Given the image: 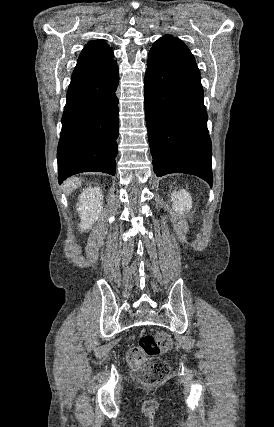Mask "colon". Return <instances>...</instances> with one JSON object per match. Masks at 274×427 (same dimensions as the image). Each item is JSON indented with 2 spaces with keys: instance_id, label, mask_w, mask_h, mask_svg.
<instances>
[{
  "instance_id": "5ec220e1",
  "label": "colon",
  "mask_w": 274,
  "mask_h": 427,
  "mask_svg": "<svg viewBox=\"0 0 274 427\" xmlns=\"http://www.w3.org/2000/svg\"><path fill=\"white\" fill-rule=\"evenodd\" d=\"M172 346L168 334H145L136 345L127 351V363L132 370V379L141 385L164 382L171 375L169 364L158 355L167 352Z\"/></svg>"
}]
</instances>
